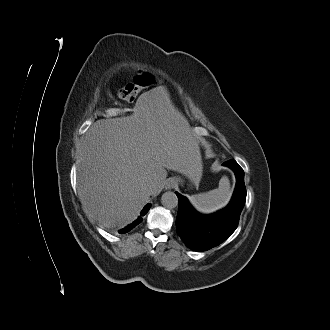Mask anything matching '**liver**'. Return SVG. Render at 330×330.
I'll use <instances>...</instances> for the list:
<instances>
[{
  "label": "liver",
  "instance_id": "obj_1",
  "mask_svg": "<svg viewBox=\"0 0 330 330\" xmlns=\"http://www.w3.org/2000/svg\"><path fill=\"white\" fill-rule=\"evenodd\" d=\"M198 153L188 121L170 100L143 93L132 115L97 120L88 130L77 177L83 209L103 227L122 228L162 189L166 168L187 175Z\"/></svg>",
  "mask_w": 330,
  "mask_h": 330
}]
</instances>
